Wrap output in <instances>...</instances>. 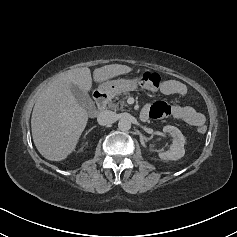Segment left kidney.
Returning <instances> with one entry per match:
<instances>
[{
	"mask_svg": "<svg viewBox=\"0 0 237 237\" xmlns=\"http://www.w3.org/2000/svg\"><path fill=\"white\" fill-rule=\"evenodd\" d=\"M164 133H170L173 137L172 144L170 145V149L166 152H160L159 157L162 160H178L182 158L185 154L184 144L185 138L181 131L174 126L167 125L163 127Z\"/></svg>",
	"mask_w": 237,
	"mask_h": 237,
	"instance_id": "1",
	"label": "left kidney"
}]
</instances>
